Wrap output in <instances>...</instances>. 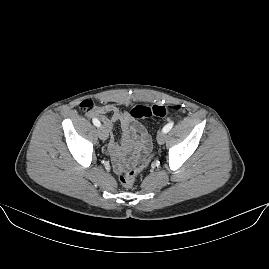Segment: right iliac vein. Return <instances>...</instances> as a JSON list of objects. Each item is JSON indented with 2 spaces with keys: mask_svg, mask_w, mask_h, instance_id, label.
I'll list each match as a JSON object with an SVG mask.
<instances>
[{
  "mask_svg": "<svg viewBox=\"0 0 269 269\" xmlns=\"http://www.w3.org/2000/svg\"><path fill=\"white\" fill-rule=\"evenodd\" d=\"M98 136L103 141H105L108 138V130L105 126H100L98 128Z\"/></svg>",
  "mask_w": 269,
  "mask_h": 269,
  "instance_id": "right-iliac-vein-1",
  "label": "right iliac vein"
}]
</instances>
